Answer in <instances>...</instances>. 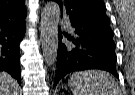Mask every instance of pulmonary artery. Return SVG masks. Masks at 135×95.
I'll return each mask as SVG.
<instances>
[{
	"label": "pulmonary artery",
	"mask_w": 135,
	"mask_h": 95,
	"mask_svg": "<svg viewBox=\"0 0 135 95\" xmlns=\"http://www.w3.org/2000/svg\"><path fill=\"white\" fill-rule=\"evenodd\" d=\"M63 23L68 25L70 27V29H72V27L69 25V23L67 21H63Z\"/></svg>",
	"instance_id": "pulmonary-artery-1"
}]
</instances>
